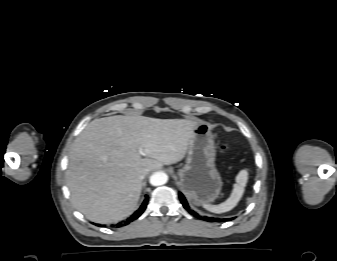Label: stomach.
Here are the masks:
<instances>
[{
    "label": "stomach",
    "instance_id": "stomach-1",
    "mask_svg": "<svg viewBox=\"0 0 337 261\" xmlns=\"http://www.w3.org/2000/svg\"><path fill=\"white\" fill-rule=\"evenodd\" d=\"M214 135L209 124L199 123L193 131L185 165L178 170L179 187L195 205L213 202L223 185L215 164Z\"/></svg>",
    "mask_w": 337,
    "mask_h": 261
}]
</instances>
